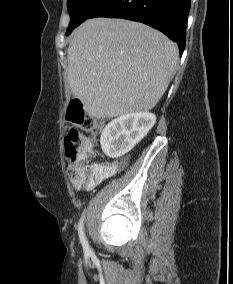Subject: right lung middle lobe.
<instances>
[{"label":"right lung middle lobe","mask_w":233,"mask_h":284,"mask_svg":"<svg viewBox=\"0 0 233 284\" xmlns=\"http://www.w3.org/2000/svg\"><path fill=\"white\" fill-rule=\"evenodd\" d=\"M107 1L108 0H68L67 8L70 14V23L66 35H69L75 27L88 19L99 6Z\"/></svg>","instance_id":"1"}]
</instances>
